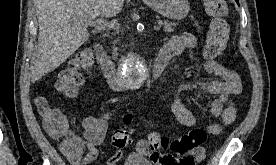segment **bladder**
<instances>
[{"mask_svg": "<svg viewBox=\"0 0 276 165\" xmlns=\"http://www.w3.org/2000/svg\"><path fill=\"white\" fill-rule=\"evenodd\" d=\"M125 165H152L148 160L140 156L132 157Z\"/></svg>", "mask_w": 276, "mask_h": 165, "instance_id": "bladder-1", "label": "bladder"}]
</instances>
